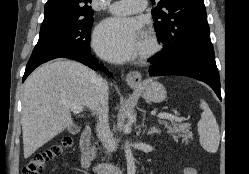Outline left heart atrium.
<instances>
[{
	"label": "left heart atrium",
	"instance_id": "1",
	"mask_svg": "<svg viewBox=\"0 0 249 174\" xmlns=\"http://www.w3.org/2000/svg\"><path fill=\"white\" fill-rule=\"evenodd\" d=\"M140 22L133 18H109L94 33V47L104 58L123 62L134 59L141 49Z\"/></svg>",
	"mask_w": 249,
	"mask_h": 174
}]
</instances>
